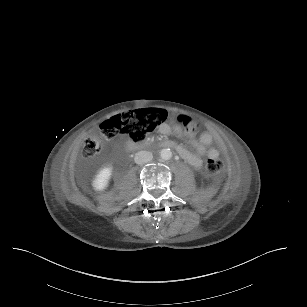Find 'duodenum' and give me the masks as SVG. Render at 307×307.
<instances>
[{
    "label": "duodenum",
    "instance_id": "obj_1",
    "mask_svg": "<svg viewBox=\"0 0 307 307\" xmlns=\"http://www.w3.org/2000/svg\"><path fill=\"white\" fill-rule=\"evenodd\" d=\"M152 143H141V144H137V145H134L132 146L131 148L132 149H146L147 147H149ZM156 145H160L162 147H165V148H169V149H174V144L171 142V141H166V142H156L154 143Z\"/></svg>",
    "mask_w": 307,
    "mask_h": 307
}]
</instances>
